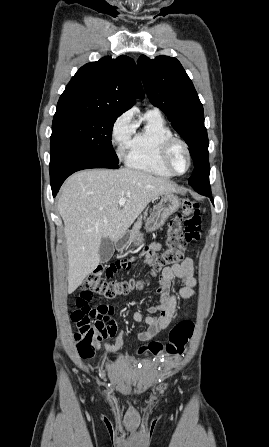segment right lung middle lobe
<instances>
[{"mask_svg": "<svg viewBox=\"0 0 269 447\" xmlns=\"http://www.w3.org/2000/svg\"><path fill=\"white\" fill-rule=\"evenodd\" d=\"M117 117L111 114H56L50 138L51 149L59 146L119 163L111 143Z\"/></svg>", "mask_w": 269, "mask_h": 447, "instance_id": "1", "label": "right lung middle lobe"}]
</instances>
